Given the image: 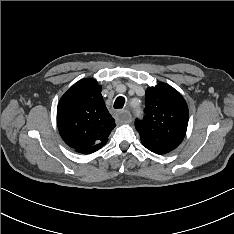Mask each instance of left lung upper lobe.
I'll return each instance as SVG.
<instances>
[{
    "label": "left lung upper lobe",
    "mask_w": 234,
    "mask_h": 234,
    "mask_svg": "<svg viewBox=\"0 0 234 234\" xmlns=\"http://www.w3.org/2000/svg\"><path fill=\"white\" fill-rule=\"evenodd\" d=\"M145 116L135 121L141 140H169L179 145L187 130L189 111L182 95L166 83L149 87L145 93Z\"/></svg>",
    "instance_id": "5c2ea615"
}]
</instances>
